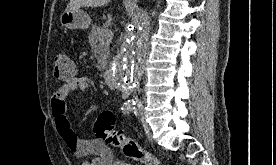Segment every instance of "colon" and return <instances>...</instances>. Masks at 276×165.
I'll use <instances>...</instances> for the list:
<instances>
[{
  "instance_id": "5ec220e1",
  "label": "colon",
  "mask_w": 276,
  "mask_h": 165,
  "mask_svg": "<svg viewBox=\"0 0 276 165\" xmlns=\"http://www.w3.org/2000/svg\"><path fill=\"white\" fill-rule=\"evenodd\" d=\"M75 65L66 53L57 54L55 57L54 74L61 81L74 77ZM115 116L111 111L101 112L95 123L94 133L96 137L107 145L119 148L123 154L145 165H160V160L140 147L132 138L118 131L114 127Z\"/></svg>"
}]
</instances>
